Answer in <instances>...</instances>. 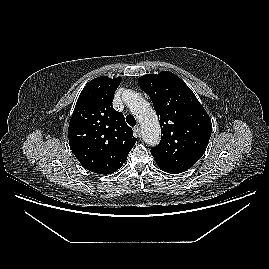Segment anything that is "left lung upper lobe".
I'll return each mask as SVG.
<instances>
[{
  "label": "left lung upper lobe",
  "mask_w": 269,
  "mask_h": 269,
  "mask_svg": "<svg viewBox=\"0 0 269 269\" xmlns=\"http://www.w3.org/2000/svg\"><path fill=\"white\" fill-rule=\"evenodd\" d=\"M138 83L150 96L161 126V141L151 149L155 161L190 169L207 148L212 133L209 115L192 90L171 72L147 74Z\"/></svg>",
  "instance_id": "1"
}]
</instances>
